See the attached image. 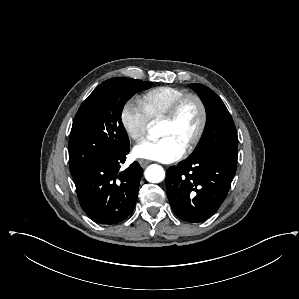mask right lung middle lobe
<instances>
[{"instance_id":"1","label":"right lung middle lobe","mask_w":299,"mask_h":299,"mask_svg":"<svg viewBox=\"0 0 299 299\" xmlns=\"http://www.w3.org/2000/svg\"><path fill=\"white\" fill-rule=\"evenodd\" d=\"M151 83L113 78L100 84L80 106L69 138L70 170L73 176L89 165L108 159L129 147L121 122L124 104Z\"/></svg>"}]
</instances>
